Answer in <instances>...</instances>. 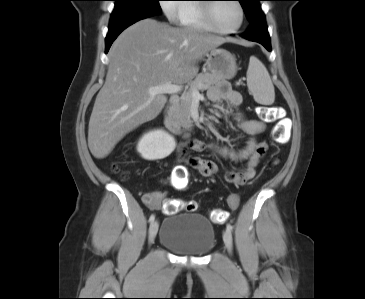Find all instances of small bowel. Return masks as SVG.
I'll use <instances>...</instances> for the list:
<instances>
[{
    "label": "small bowel",
    "instance_id": "1",
    "mask_svg": "<svg viewBox=\"0 0 365 299\" xmlns=\"http://www.w3.org/2000/svg\"><path fill=\"white\" fill-rule=\"evenodd\" d=\"M209 99L213 103H226L231 107H237L242 102V96L227 84H221L212 89ZM234 120L238 128L248 136L246 144L240 149H233L217 143H206L201 140H191L185 137V141L179 144L178 153L185 160L186 165H178L174 169V176L170 184L175 186L174 177L177 173L183 174L186 166L196 169L204 177H213L219 171V166L205 158L185 157L188 150L203 151L209 149L216 155L235 162H244L241 169L228 170L225 172L227 182L236 186L244 185L255 176L256 168L264 158L267 151V144L259 142L257 136L265 130V124L256 119H246L241 114H236ZM165 193L152 191L143 196L145 204L151 209H159L164 201Z\"/></svg>",
    "mask_w": 365,
    "mask_h": 299
}]
</instances>
